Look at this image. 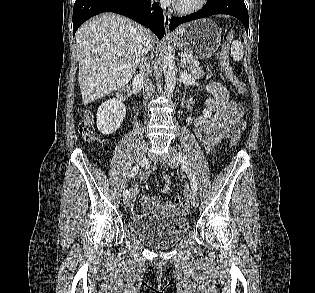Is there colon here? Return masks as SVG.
<instances>
[{
	"instance_id": "5ec220e1",
	"label": "colon",
	"mask_w": 315,
	"mask_h": 293,
	"mask_svg": "<svg viewBox=\"0 0 315 293\" xmlns=\"http://www.w3.org/2000/svg\"><path fill=\"white\" fill-rule=\"evenodd\" d=\"M234 38H233V33L230 32L228 36H226L225 40L222 42V49L220 53V60H221V65L224 70V73L230 83L235 87L237 92L241 95H245L247 93V88L245 83L240 81L237 76L235 75L230 63H229V52H230V47L231 43H233ZM79 132L81 136L88 142L94 140L96 132L93 124V119L90 113H88L84 120L80 123L79 126ZM242 131L236 132L231 140V145L236 144L238 141ZM175 203L179 207H184L187 204L186 199L183 196H177L175 198Z\"/></svg>"
}]
</instances>
